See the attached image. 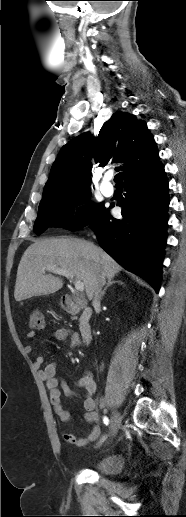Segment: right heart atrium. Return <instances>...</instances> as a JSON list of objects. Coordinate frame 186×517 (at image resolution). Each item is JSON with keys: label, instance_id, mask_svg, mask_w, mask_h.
Returning a JSON list of instances; mask_svg holds the SVG:
<instances>
[{"label": "right heart atrium", "instance_id": "d8ad5b80", "mask_svg": "<svg viewBox=\"0 0 186 517\" xmlns=\"http://www.w3.org/2000/svg\"><path fill=\"white\" fill-rule=\"evenodd\" d=\"M83 205L79 202L72 204L68 209V214L72 219H78L83 214Z\"/></svg>", "mask_w": 186, "mask_h": 517}]
</instances>
